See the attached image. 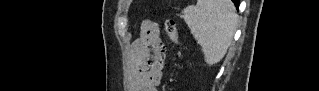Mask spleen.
Returning a JSON list of instances; mask_svg holds the SVG:
<instances>
[{"mask_svg":"<svg viewBox=\"0 0 319 91\" xmlns=\"http://www.w3.org/2000/svg\"><path fill=\"white\" fill-rule=\"evenodd\" d=\"M183 19L201 46L208 65L220 62L231 45L238 15L230 0H198L182 10Z\"/></svg>","mask_w":319,"mask_h":91,"instance_id":"spleen-1","label":"spleen"}]
</instances>
